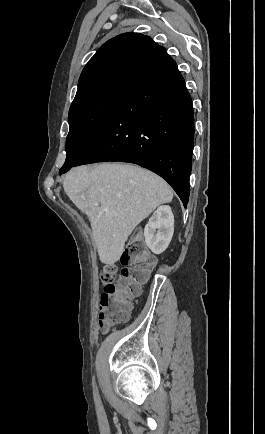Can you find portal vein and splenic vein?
<instances>
[{"label": "portal vein and splenic vein", "mask_w": 265, "mask_h": 434, "mask_svg": "<svg viewBox=\"0 0 265 434\" xmlns=\"http://www.w3.org/2000/svg\"><path fill=\"white\" fill-rule=\"evenodd\" d=\"M95 206H99V204H95Z\"/></svg>", "instance_id": "1"}]
</instances>
